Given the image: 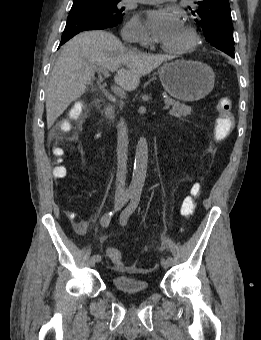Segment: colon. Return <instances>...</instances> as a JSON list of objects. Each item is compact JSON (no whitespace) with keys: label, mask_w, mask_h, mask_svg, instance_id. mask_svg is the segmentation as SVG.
Instances as JSON below:
<instances>
[{"label":"colon","mask_w":261,"mask_h":340,"mask_svg":"<svg viewBox=\"0 0 261 340\" xmlns=\"http://www.w3.org/2000/svg\"><path fill=\"white\" fill-rule=\"evenodd\" d=\"M219 116L215 124V138L217 140H223L227 138L234 128V117L232 114V101L228 97H221L216 104ZM81 113V106L75 105L71 111V116L77 118ZM61 128L65 131L70 129L69 124L63 123ZM54 155L57 157L58 161L61 162L65 155V151L60 147H55L53 149ZM54 174L56 177H64L66 175V170L63 166L58 165L54 169ZM201 194V186L199 184L193 185L191 193L187 196L181 206L182 215L185 218L190 217L196 208L197 198ZM108 256L111 262L116 267H122V254L118 249L111 248L108 250Z\"/></svg>","instance_id":"5ec220e1"}]
</instances>
